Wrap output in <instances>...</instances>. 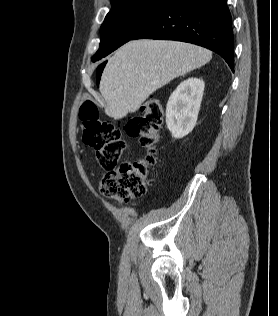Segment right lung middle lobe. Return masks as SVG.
<instances>
[{
	"label": "right lung middle lobe",
	"instance_id": "right-lung-middle-lobe-1",
	"mask_svg": "<svg viewBox=\"0 0 278 316\" xmlns=\"http://www.w3.org/2000/svg\"><path fill=\"white\" fill-rule=\"evenodd\" d=\"M167 0H111L112 8L100 30V46L93 62L107 56L131 40L147 26Z\"/></svg>",
	"mask_w": 278,
	"mask_h": 316
}]
</instances>
